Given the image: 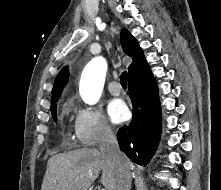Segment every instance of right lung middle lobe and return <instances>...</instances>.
I'll return each mask as SVG.
<instances>
[{
  "mask_svg": "<svg viewBox=\"0 0 221 190\" xmlns=\"http://www.w3.org/2000/svg\"><path fill=\"white\" fill-rule=\"evenodd\" d=\"M57 100L51 102V114L55 122H57V113H56V105Z\"/></svg>",
  "mask_w": 221,
  "mask_h": 190,
  "instance_id": "right-lung-middle-lobe-1",
  "label": "right lung middle lobe"
}]
</instances>
